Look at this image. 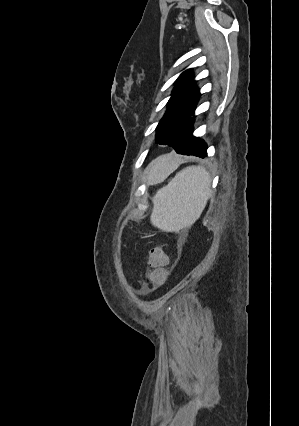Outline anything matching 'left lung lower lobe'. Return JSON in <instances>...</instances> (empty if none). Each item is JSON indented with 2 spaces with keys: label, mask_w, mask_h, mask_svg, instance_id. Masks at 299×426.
I'll return each mask as SVG.
<instances>
[{
  "label": "left lung lower lobe",
  "mask_w": 299,
  "mask_h": 426,
  "mask_svg": "<svg viewBox=\"0 0 299 426\" xmlns=\"http://www.w3.org/2000/svg\"><path fill=\"white\" fill-rule=\"evenodd\" d=\"M193 120L182 131V133L173 142L171 147L179 154L194 155L201 158L207 156V146L205 142L198 137H194Z\"/></svg>",
  "instance_id": "obj_1"
}]
</instances>
